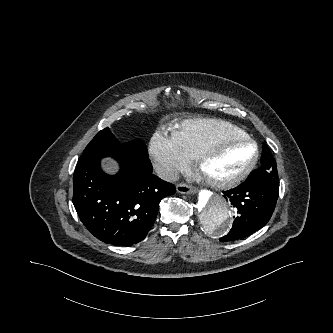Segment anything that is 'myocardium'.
Here are the masks:
<instances>
[{"mask_svg": "<svg viewBox=\"0 0 333 333\" xmlns=\"http://www.w3.org/2000/svg\"><path fill=\"white\" fill-rule=\"evenodd\" d=\"M226 141H242L246 144H248L252 148V156L249 159V161L235 174L226 177V178H220L215 179L211 178L209 176H206L202 173V167L206 161V159L209 157V155L213 152V150L221 143ZM259 158V148L254 139H252L250 136H243V135H237V134H224L220 135L218 137L213 138L211 141H209L207 144H205L200 151L196 154L194 158V164L196 170L201 174L205 182L212 188L215 189H229L238 183H240L242 180H244L250 172L254 169L255 165L257 164Z\"/></svg>", "mask_w": 333, "mask_h": 333, "instance_id": "myocardium-1", "label": "myocardium"}]
</instances>
